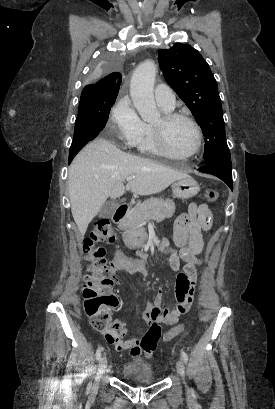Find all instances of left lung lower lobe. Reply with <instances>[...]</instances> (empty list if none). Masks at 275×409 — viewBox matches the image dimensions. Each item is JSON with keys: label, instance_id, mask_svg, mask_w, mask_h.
Returning a JSON list of instances; mask_svg holds the SVG:
<instances>
[{"label": "left lung lower lobe", "instance_id": "obj_1", "mask_svg": "<svg viewBox=\"0 0 275 409\" xmlns=\"http://www.w3.org/2000/svg\"><path fill=\"white\" fill-rule=\"evenodd\" d=\"M201 172L209 173L222 179L233 190L231 163L225 160L208 162L198 169Z\"/></svg>", "mask_w": 275, "mask_h": 409}]
</instances>
